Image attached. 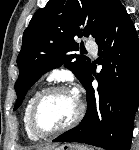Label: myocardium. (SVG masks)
Segmentation results:
<instances>
[{
    "label": "myocardium",
    "mask_w": 139,
    "mask_h": 150,
    "mask_svg": "<svg viewBox=\"0 0 139 150\" xmlns=\"http://www.w3.org/2000/svg\"><path fill=\"white\" fill-rule=\"evenodd\" d=\"M59 91H64V92H70L72 93L76 100H77V111L73 117V119L66 125L53 129V130H42L39 128L38 124H37V112L38 109L41 105V103L43 102V100L50 94L54 93V92H59ZM84 111H85V106L83 101L80 99V97L69 87L65 86V85H51L48 86L46 88H44L43 90H41V92L38 94V96L35 98L31 109H30V113H29V126L31 131L37 135L40 138H44V137H49L52 135H56L59 133H63L66 132L72 128H74L82 119L83 115H84Z\"/></svg>",
    "instance_id": "f54148a6"
}]
</instances>
